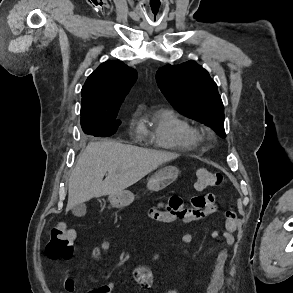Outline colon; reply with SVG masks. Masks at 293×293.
<instances>
[{"label":"colon","mask_w":293,"mask_h":293,"mask_svg":"<svg viewBox=\"0 0 293 293\" xmlns=\"http://www.w3.org/2000/svg\"><path fill=\"white\" fill-rule=\"evenodd\" d=\"M223 181L220 172L199 169L195 174V188L204 190L211 187H218ZM238 218L234 210L226 213L225 232L232 233L235 231ZM74 232L66 226L59 224L54 227L48 241L45 252L50 259H69L74 251Z\"/></svg>","instance_id":"5ec220e1"}]
</instances>
